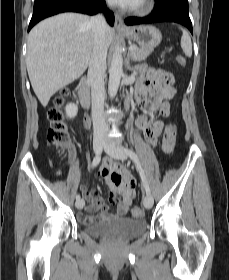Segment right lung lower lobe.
<instances>
[{"mask_svg": "<svg viewBox=\"0 0 229 280\" xmlns=\"http://www.w3.org/2000/svg\"><path fill=\"white\" fill-rule=\"evenodd\" d=\"M105 13L108 23L114 25V15L106 9L104 0H35L28 31L39 21L62 12H79L94 15Z\"/></svg>", "mask_w": 229, "mask_h": 280, "instance_id": "right-lung-lower-lobe-1", "label": "right lung lower lobe"}]
</instances>
